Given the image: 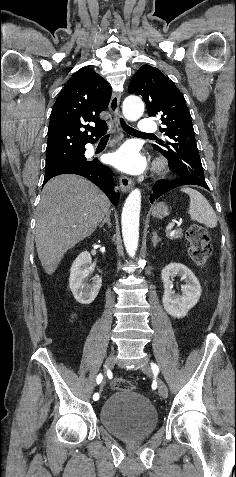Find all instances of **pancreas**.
Wrapping results in <instances>:
<instances>
[{
	"instance_id": "1",
	"label": "pancreas",
	"mask_w": 236,
	"mask_h": 477,
	"mask_svg": "<svg viewBox=\"0 0 236 477\" xmlns=\"http://www.w3.org/2000/svg\"><path fill=\"white\" fill-rule=\"evenodd\" d=\"M167 237L171 240L181 239L183 237L182 230H177L174 234L167 233Z\"/></svg>"
}]
</instances>
